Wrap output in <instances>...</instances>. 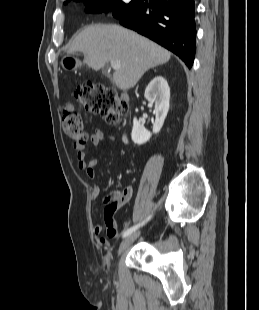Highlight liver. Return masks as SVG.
Segmentation results:
<instances>
[{"instance_id":"6515ba94","label":"liver","mask_w":259,"mask_h":310,"mask_svg":"<svg viewBox=\"0 0 259 310\" xmlns=\"http://www.w3.org/2000/svg\"><path fill=\"white\" fill-rule=\"evenodd\" d=\"M82 52L83 62L99 71L108 62L118 61L121 69L113 83L122 90L133 88L150 68L169 61L171 53L153 41L118 25H92L83 29L66 48Z\"/></svg>"}]
</instances>
